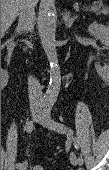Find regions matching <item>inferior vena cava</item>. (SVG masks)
Wrapping results in <instances>:
<instances>
[{"label":"inferior vena cava","mask_w":109,"mask_h":170,"mask_svg":"<svg viewBox=\"0 0 109 170\" xmlns=\"http://www.w3.org/2000/svg\"><path fill=\"white\" fill-rule=\"evenodd\" d=\"M35 19L32 0H21L18 29L22 31H32L35 25ZM28 93L30 106L32 108L40 107L43 102L41 85L33 76H29L28 78Z\"/></svg>","instance_id":"1"}]
</instances>
